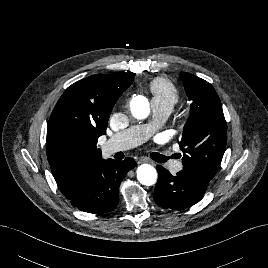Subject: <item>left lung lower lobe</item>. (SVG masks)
<instances>
[{
  "instance_id": "1",
  "label": "left lung lower lobe",
  "mask_w": 268,
  "mask_h": 268,
  "mask_svg": "<svg viewBox=\"0 0 268 268\" xmlns=\"http://www.w3.org/2000/svg\"><path fill=\"white\" fill-rule=\"evenodd\" d=\"M157 171L158 181L153 197L161 207L176 210L188 208L196 204L207 189V185L183 171L172 176L160 165L157 166Z\"/></svg>"
}]
</instances>
